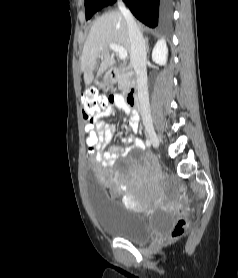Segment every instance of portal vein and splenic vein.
Listing matches in <instances>:
<instances>
[{
    "label": "portal vein and splenic vein",
    "mask_w": 238,
    "mask_h": 278,
    "mask_svg": "<svg viewBox=\"0 0 238 278\" xmlns=\"http://www.w3.org/2000/svg\"><path fill=\"white\" fill-rule=\"evenodd\" d=\"M109 48L112 51L117 52L118 55H119V58L122 59V60L126 59L127 56H128L127 51L122 46H119V45L114 44V43H110Z\"/></svg>",
    "instance_id": "1"
}]
</instances>
